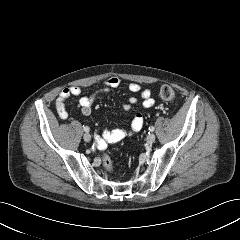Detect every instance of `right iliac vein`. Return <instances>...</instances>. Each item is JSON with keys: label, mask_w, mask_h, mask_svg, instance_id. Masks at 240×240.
Instances as JSON below:
<instances>
[{"label": "right iliac vein", "mask_w": 240, "mask_h": 240, "mask_svg": "<svg viewBox=\"0 0 240 240\" xmlns=\"http://www.w3.org/2000/svg\"><path fill=\"white\" fill-rule=\"evenodd\" d=\"M84 141L90 142L91 141V135L89 133H85L83 136Z\"/></svg>", "instance_id": "obj_1"}]
</instances>
